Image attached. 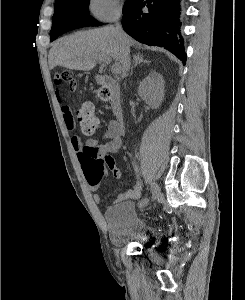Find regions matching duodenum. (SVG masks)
I'll return each instance as SVG.
<instances>
[{"label": "duodenum", "mask_w": 245, "mask_h": 300, "mask_svg": "<svg viewBox=\"0 0 245 300\" xmlns=\"http://www.w3.org/2000/svg\"><path fill=\"white\" fill-rule=\"evenodd\" d=\"M98 81L111 91V110L117 121L123 124L124 113L119 84L109 75H100Z\"/></svg>", "instance_id": "1"}]
</instances>
